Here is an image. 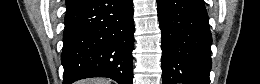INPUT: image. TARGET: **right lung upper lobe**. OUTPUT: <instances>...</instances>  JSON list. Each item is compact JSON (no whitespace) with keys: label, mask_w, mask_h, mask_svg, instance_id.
<instances>
[{"label":"right lung upper lobe","mask_w":260,"mask_h":84,"mask_svg":"<svg viewBox=\"0 0 260 84\" xmlns=\"http://www.w3.org/2000/svg\"><path fill=\"white\" fill-rule=\"evenodd\" d=\"M82 0H67V10L74 8L77 6Z\"/></svg>","instance_id":"right-lung-upper-lobe-1"}]
</instances>
